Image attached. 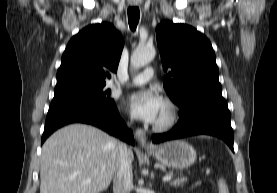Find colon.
Returning a JSON list of instances; mask_svg holds the SVG:
<instances>
[{"instance_id": "5ec220e1", "label": "colon", "mask_w": 277, "mask_h": 193, "mask_svg": "<svg viewBox=\"0 0 277 193\" xmlns=\"http://www.w3.org/2000/svg\"><path fill=\"white\" fill-rule=\"evenodd\" d=\"M217 191L218 193H230L228 183L225 179L220 178L217 182Z\"/></svg>"}]
</instances>
